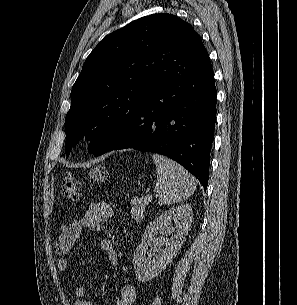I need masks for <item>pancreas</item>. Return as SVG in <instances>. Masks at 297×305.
Instances as JSON below:
<instances>
[{
  "mask_svg": "<svg viewBox=\"0 0 297 305\" xmlns=\"http://www.w3.org/2000/svg\"><path fill=\"white\" fill-rule=\"evenodd\" d=\"M131 203L133 205L131 209V215L134 220L138 221L143 217V210L145 207V199L144 198H138L133 197L131 200Z\"/></svg>",
  "mask_w": 297,
  "mask_h": 305,
  "instance_id": "pancreas-1",
  "label": "pancreas"
}]
</instances>
